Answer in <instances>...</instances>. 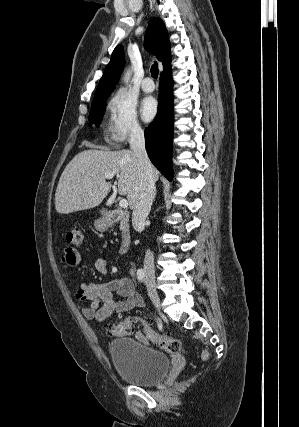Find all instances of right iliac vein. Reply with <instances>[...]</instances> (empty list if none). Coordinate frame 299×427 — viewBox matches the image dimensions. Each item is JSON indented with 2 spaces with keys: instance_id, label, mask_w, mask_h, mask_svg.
<instances>
[{
  "instance_id": "right-iliac-vein-1",
  "label": "right iliac vein",
  "mask_w": 299,
  "mask_h": 427,
  "mask_svg": "<svg viewBox=\"0 0 299 427\" xmlns=\"http://www.w3.org/2000/svg\"><path fill=\"white\" fill-rule=\"evenodd\" d=\"M145 285L147 287L148 295H149L151 301L153 302V304L157 308H160V298H159V295L157 293L156 284H155L154 279L146 278L145 279Z\"/></svg>"
}]
</instances>
